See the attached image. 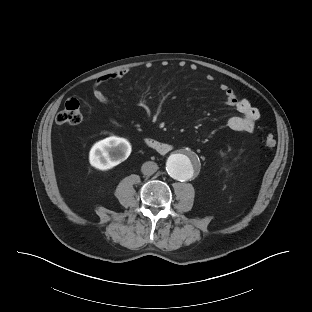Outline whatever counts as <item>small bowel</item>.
Wrapping results in <instances>:
<instances>
[{"instance_id": "small-bowel-1", "label": "small bowel", "mask_w": 312, "mask_h": 312, "mask_svg": "<svg viewBox=\"0 0 312 312\" xmlns=\"http://www.w3.org/2000/svg\"><path fill=\"white\" fill-rule=\"evenodd\" d=\"M129 71L130 69L125 68L100 76L92 89L95 99L104 105H109L110 100L103 92L102 85L113 80L122 79ZM208 79H212V76L209 75ZM219 88L225 96V104L235 108L240 113V116H233L228 119V127L237 132H252L257 121L260 119L259 110L252 106L247 99L237 97L234 91L226 84H221Z\"/></svg>"}]
</instances>
